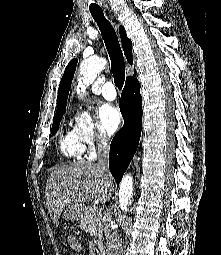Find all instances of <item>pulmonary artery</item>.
Returning <instances> with one entry per match:
<instances>
[{
	"mask_svg": "<svg viewBox=\"0 0 221 255\" xmlns=\"http://www.w3.org/2000/svg\"><path fill=\"white\" fill-rule=\"evenodd\" d=\"M101 93L106 100H114L116 98V89L112 82L108 81L102 85Z\"/></svg>",
	"mask_w": 221,
	"mask_h": 255,
	"instance_id": "pulmonary-artery-1",
	"label": "pulmonary artery"
}]
</instances>
